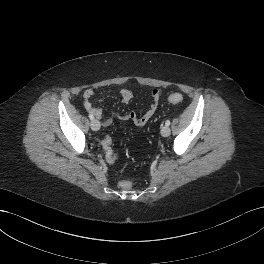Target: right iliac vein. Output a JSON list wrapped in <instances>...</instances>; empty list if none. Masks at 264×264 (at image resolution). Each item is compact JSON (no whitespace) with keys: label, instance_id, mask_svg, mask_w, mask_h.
I'll return each instance as SVG.
<instances>
[{"label":"right iliac vein","instance_id":"right-iliac-vein-1","mask_svg":"<svg viewBox=\"0 0 264 264\" xmlns=\"http://www.w3.org/2000/svg\"><path fill=\"white\" fill-rule=\"evenodd\" d=\"M91 129L94 131H98L100 129V122L96 119H93L90 123Z\"/></svg>","mask_w":264,"mask_h":264}]
</instances>
